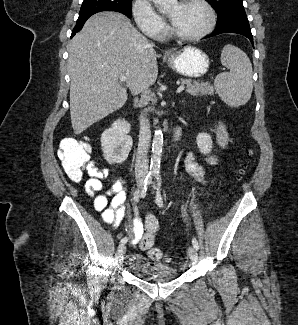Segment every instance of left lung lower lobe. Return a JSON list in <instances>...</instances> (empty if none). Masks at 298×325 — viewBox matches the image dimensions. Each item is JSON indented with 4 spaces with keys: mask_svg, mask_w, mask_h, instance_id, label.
<instances>
[{
    "mask_svg": "<svg viewBox=\"0 0 298 325\" xmlns=\"http://www.w3.org/2000/svg\"><path fill=\"white\" fill-rule=\"evenodd\" d=\"M227 32L244 35L253 44V36L245 11L232 13L224 20L217 22L215 30L205 38Z\"/></svg>",
    "mask_w": 298,
    "mask_h": 325,
    "instance_id": "1",
    "label": "left lung lower lobe"
}]
</instances>
